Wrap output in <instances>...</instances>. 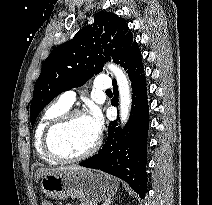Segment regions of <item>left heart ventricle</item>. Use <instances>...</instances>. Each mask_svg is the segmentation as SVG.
I'll return each mask as SVG.
<instances>
[{
	"mask_svg": "<svg viewBox=\"0 0 212 205\" xmlns=\"http://www.w3.org/2000/svg\"><path fill=\"white\" fill-rule=\"evenodd\" d=\"M97 136L85 116L73 118L61 128L54 139L57 150L65 156H77L85 152Z\"/></svg>",
	"mask_w": 212,
	"mask_h": 205,
	"instance_id": "1",
	"label": "left heart ventricle"
}]
</instances>
